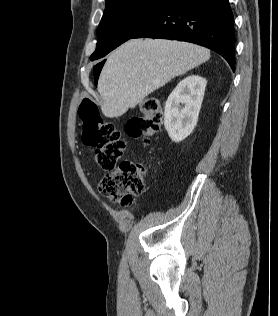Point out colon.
Returning a JSON list of instances; mask_svg holds the SVG:
<instances>
[{"mask_svg":"<svg viewBox=\"0 0 278 316\" xmlns=\"http://www.w3.org/2000/svg\"><path fill=\"white\" fill-rule=\"evenodd\" d=\"M139 111L141 116L131 118L126 124V131L149 144L159 132L162 122L160 102L156 98H147L141 103ZM79 118L84 144L94 148L97 164L107 171L99 183L100 193L122 206L130 205L145 192L144 166L134 162L119 163L125 142L115 124L102 118L93 101L85 99L81 102Z\"/></svg>","mask_w":278,"mask_h":316,"instance_id":"5ec220e1","label":"colon"}]
</instances>
